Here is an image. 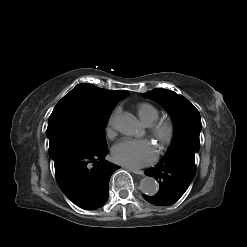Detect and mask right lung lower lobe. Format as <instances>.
Returning a JSON list of instances; mask_svg holds the SVG:
<instances>
[{
    "label": "right lung lower lobe",
    "instance_id": "obj_1",
    "mask_svg": "<svg viewBox=\"0 0 247 247\" xmlns=\"http://www.w3.org/2000/svg\"><path fill=\"white\" fill-rule=\"evenodd\" d=\"M107 152V147L91 150L65 139L50 140L49 155L54 160L57 183L82 209L95 210L108 198L109 179L120 167L104 159Z\"/></svg>",
    "mask_w": 247,
    "mask_h": 247
}]
</instances>
